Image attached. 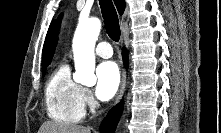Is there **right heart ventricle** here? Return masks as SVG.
Masks as SVG:
<instances>
[{"mask_svg":"<svg viewBox=\"0 0 221 133\" xmlns=\"http://www.w3.org/2000/svg\"><path fill=\"white\" fill-rule=\"evenodd\" d=\"M82 87L70 75L67 65L57 67L45 87L48 116L57 123L76 124L84 116Z\"/></svg>","mask_w":221,"mask_h":133,"instance_id":"e07e8e85","label":"right heart ventricle"}]
</instances>
